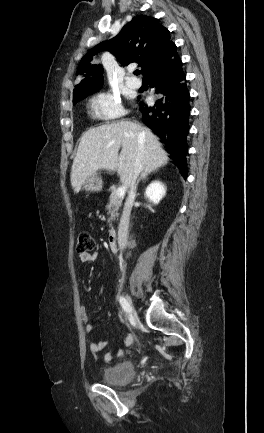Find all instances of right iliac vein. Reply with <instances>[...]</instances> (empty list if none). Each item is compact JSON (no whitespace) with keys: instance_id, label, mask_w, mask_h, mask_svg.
Instances as JSON below:
<instances>
[{"instance_id":"right-iliac-vein-1","label":"right iliac vein","mask_w":264,"mask_h":433,"mask_svg":"<svg viewBox=\"0 0 264 433\" xmlns=\"http://www.w3.org/2000/svg\"><path fill=\"white\" fill-rule=\"evenodd\" d=\"M127 302L129 304V312H130L132 318L137 319V312L134 308V305H133V302H132V299L130 296H127Z\"/></svg>"}]
</instances>
